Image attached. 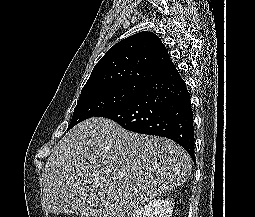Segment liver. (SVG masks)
Instances as JSON below:
<instances>
[{"label":"liver","instance_id":"6515ba94","mask_svg":"<svg viewBox=\"0 0 255 217\" xmlns=\"http://www.w3.org/2000/svg\"><path fill=\"white\" fill-rule=\"evenodd\" d=\"M188 153L163 137L93 117L54 147L43 173V208L77 217H130L191 174Z\"/></svg>","mask_w":255,"mask_h":217}]
</instances>
